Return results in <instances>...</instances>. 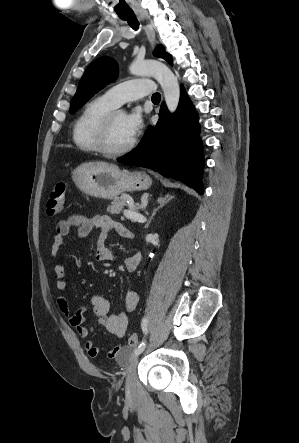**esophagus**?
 Wrapping results in <instances>:
<instances>
[{
  "label": "esophagus",
  "mask_w": 299,
  "mask_h": 443,
  "mask_svg": "<svg viewBox=\"0 0 299 443\" xmlns=\"http://www.w3.org/2000/svg\"><path fill=\"white\" fill-rule=\"evenodd\" d=\"M136 15L139 18V20L145 24L144 29L147 34L148 40H149L151 46L154 47L156 45V38H155V32L153 30V27L151 26L150 23L147 22V17L143 11H137Z\"/></svg>",
  "instance_id": "esophagus-1"
}]
</instances>
